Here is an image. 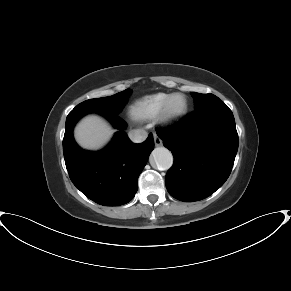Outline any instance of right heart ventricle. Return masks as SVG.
Returning <instances> with one entry per match:
<instances>
[{
	"label": "right heart ventricle",
	"instance_id": "1",
	"mask_svg": "<svg viewBox=\"0 0 291 291\" xmlns=\"http://www.w3.org/2000/svg\"><path fill=\"white\" fill-rule=\"evenodd\" d=\"M169 95L159 93L137 100L130 107V113L134 118L149 120L157 117L168 99Z\"/></svg>",
	"mask_w": 291,
	"mask_h": 291
}]
</instances>
